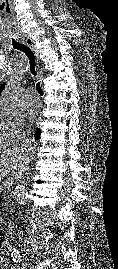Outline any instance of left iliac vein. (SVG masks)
I'll return each mask as SVG.
<instances>
[{
    "label": "left iliac vein",
    "instance_id": "left-iliac-vein-1",
    "mask_svg": "<svg viewBox=\"0 0 118 269\" xmlns=\"http://www.w3.org/2000/svg\"><path fill=\"white\" fill-rule=\"evenodd\" d=\"M29 264H27V263H23V268L24 269H29V266H28ZM31 269V268H30Z\"/></svg>",
    "mask_w": 118,
    "mask_h": 269
}]
</instances>
